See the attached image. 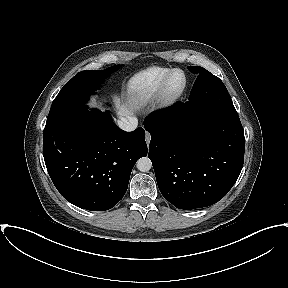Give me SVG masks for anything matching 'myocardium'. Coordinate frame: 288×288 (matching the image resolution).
Wrapping results in <instances>:
<instances>
[{"label": "myocardium", "instance_id": "myocardium-1", "mask_svg": "<svg viewBox=\"0 0 288 288\" xmlns=\"http://www.w3.org/2000/svg\"><path fill=\"white\" fill-rule=\"evenodd\" d=\"M176 74H180L182 77L181 83L174 87L172 80ZM187 85V77L185 73L180 69H173L164 79L160 87V101L162 106H170L176 102L183 94Z\"/></svg>", "mask_w": 288, "mask_h": 288}]
</instances>
